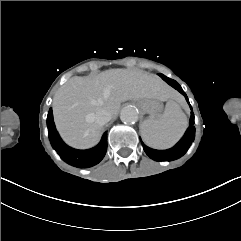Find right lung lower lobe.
Here are the masks:
<instances>
[{"label":"right lung lower lobe","mask_w":241,"mask_h":241,"mask_svg":"<svg viewBox=\"0 0 241 241\" xmlns=\"http://www.w3.org/2000/svg\"><path fill=\"white\" fill-rule=\"evenodd\" d=\"M47 127L53 148L66 163L78 168H88L98 164L104 158L107 150V132L103 134L96 147L88 150H77L66 145L60 138L55 128L51 108L47 116Z\"/></svg>","instance_id":"right-lung-lower-lobe-1"}]
</instances>
